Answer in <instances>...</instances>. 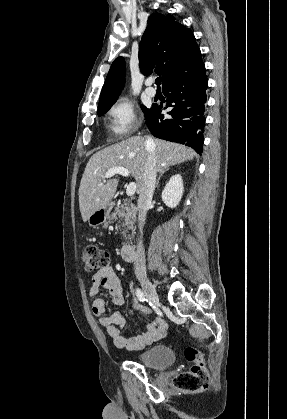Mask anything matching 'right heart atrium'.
Here are the masks:
<instances>
[{
	"label": "right heart atrium",
	"mask_w": 287,
	"mask_h": 419,
	"mask_svg": "<svg viewBox=\"0 0 287 419\" xmlns=\"http://www.w3.org/2000/svg\"><path fill=\"white\" fill-rule=\"evenodd\" d=\"M108 128L112 135L122 137L131 133L136 127L134 105L124 97L118 98L108 110Z\"/></svg>",
	"instance_id": "right-heart-atrium-1"
}]
</instances>
